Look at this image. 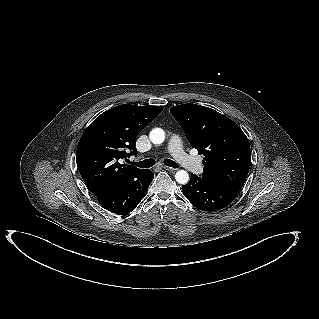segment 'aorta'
I'll return each instance as SVG.
<instances>
[{
  "mask_svg": "<svg viewBox=\"0 0 319 319\" xmlns=\"http://www.w3.org/2000/svg\"><path fill=\"white\" fill-rule=\"evenodd\" d=\"M149 138L153 144H161L165 140V131L161 128H154ZM175 179L179 184H187L189 182V174L185 170H179L175 174Z\"/></svg>",
  "mask_w": 319,
  "mask_h": 319,
  "instance_id": "762f6f07",
  "label": "aorta"
}]
</instances>
